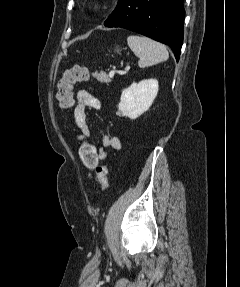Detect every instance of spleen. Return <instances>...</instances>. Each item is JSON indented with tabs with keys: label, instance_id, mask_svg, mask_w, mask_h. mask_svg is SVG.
I'll use <instances>...</instances> for the list:
<instances>
[{
	"label": "spleen",
	"instance_id": "3e777b00",
	"mask_svg": "<svg viewBox=\"0 0 240 287\" xmlns=\"http://www.w3.org/2000/svg\"><path fill=\"white\" fill-rule=\"evenodd\" d=\"M127 43L134 54L139 58V67L146 68L169 58L165 45L145 36L130 35Z\"/></svg>",
	"mask_w": 240,
	"mask_h": 287
}]
</instances>
